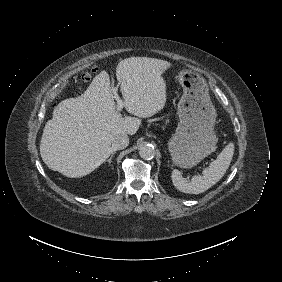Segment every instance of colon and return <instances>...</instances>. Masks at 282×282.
Here are the masks:
<instances>
[{
	"mask_svg": "<svg viewBox=\"0 0 282 282\" xmlns=\"http://www.w3.org/2000/svg\"><path fill=\"white\" fill-rule=\"evenodd\" d=\"M92 71L94 72V71H96V69H92ZM85 75H86V76H88V75H89V73H86Z\"/></svg>",
	"mask_w": 282,
	"mask_h": 282,
	"instance_id": "1",
	"label": "colon"
}]
</instances>
